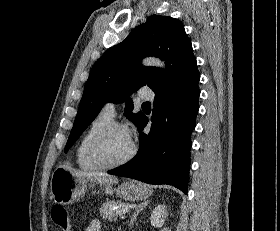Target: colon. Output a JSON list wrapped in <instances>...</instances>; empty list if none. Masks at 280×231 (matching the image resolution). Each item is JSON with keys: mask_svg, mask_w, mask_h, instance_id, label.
<instances>
[{"mask_svg": "<svg viewBox=\"0 0 280 231\" xmlns=\"http://www.w3.org/2000/svg\"><path fill=\"white\" fill-rule=\"evenodd\" d=\"M50 213L52 215V220H57L56 224L58 225V230L71 231L72 226L68 225L69 224L68 215H66L65 208H61V207L60 208H50Z\"/></svg>", "mask_w": 280, "mask_h": 231, "instance_id": "obj_1", "label": "colon"}]
</instances>
